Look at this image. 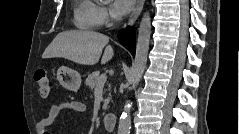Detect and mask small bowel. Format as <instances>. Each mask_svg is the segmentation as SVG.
I'll return each instance as SVG.
<instances>
[{
    "mask_svg": "<svg viewBox=\"0 0 239 134\" xmlns=\"http://www.w3.org/2000/svg\"><path fill=\"white\" fill-rule=\"evenodd\" d=\"M71 110L75 113H84L86 111V106L79 101L62 102L54 104L50 107L48 116L41 120L38 124V129L40 134H49L48 127L54 123L57 117L64 111Z\"/></svg>",
    "mask_w": 239,
    "mask_h": 134,
    "instance_id": "1",
    "label": "small bowel"
}]
</instances>
